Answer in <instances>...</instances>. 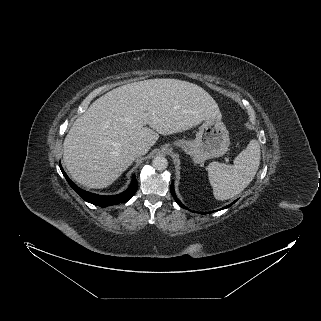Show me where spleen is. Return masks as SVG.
Listing matches in <instances>:
<instances>
[{
  "mask_svg": "<svg viewBox=\"0 0 321 321\" xmlns=\"http://www.w3.org/2000/svg\"><path fill=\"white\" fill-rule=\"evenodd\" d=\"M260 164V145L253 139L234 160L226 165L211 162L208 167V178L217 200H227L241 193L253 180Z\"/></svg>",
  "mask_w": 321,
  "mask_h": 321,
  "instance_id": "1",
  "label": "spleen"
}]
</instances>
